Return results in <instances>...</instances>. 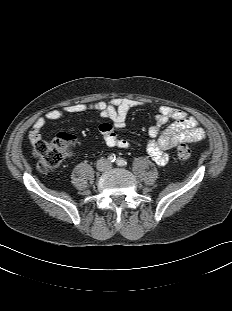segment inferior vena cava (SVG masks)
Listing matches in <instances>:
<instances>
[{
  "label": "inferior vena cava",
  "mask_w": 232,
  "mask_h": 311,
  "mask_svg": "<svg viewBox=\"0 0 232 311\" xmlns=\"http://www.w3.org/2000/svg\"><path fill=\"white\" fill-rule=\"evenodd\" d=\"M110 162L106 159H100L97 162V169L99 171H106L110 168Z\"/></svg>",
  "instance_id": "1"
}]
</instances>
